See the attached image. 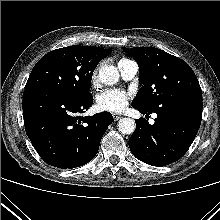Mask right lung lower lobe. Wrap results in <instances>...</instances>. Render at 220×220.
<instances>
[{
	"label": "right lung lower lobe",
	"mask_w": 220,
	"mask_h": 220,
	"mask_svg": "<svg viewBox=\"0 0 220 220\" xmlns=\"http://www.w3.org/2000/svg\"><path fill=\"white\" fill-rule=\"evenodd\" d=\"M93 104L84 98L43 88L23 93V116L27 136L49 165L66 169L85 165L97 154L100 141L113 117L109 112L81 117Z\"/></svg>",
	"instance_id": "obj_1"
}]
</instances>
